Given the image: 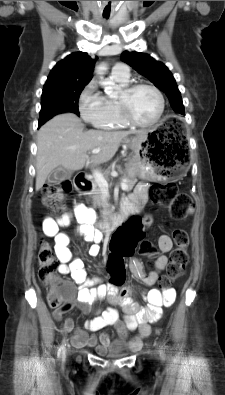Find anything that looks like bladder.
Listing matches in <instances>:
<instances>
[{"label": "bladder", "mask_w": 225, "mask_h": 395, "mask_svg": "<svg viewBox=\"0 0 225 395\" xmlns=\"http://www.w3.org/2000/svg\"><path fill=\"white\" fill-rule=\"evenodd\" d=\"M128 351L129 348L124 340H114L102 353L108 357L116 358L126 355Z\"/></svg>", "instance_id": "obj_1"}]
</instances>
